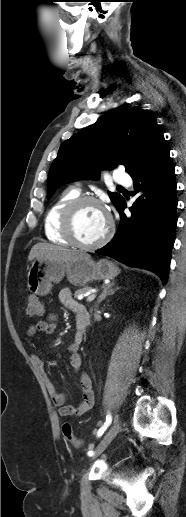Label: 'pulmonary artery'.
Returning a JSON list of instances; mask_svg holds the SVG:
<instances>
[{
    "label": "pulmonary artery",
    "instance_id": "obj_1",
    "mask_svg": "<svg viewBox=\"0 0 186 517\" xmlns=\"http://www.w3.org/2000/svg\"><path fill=\"white\" fill-rule=\"evenodd\" d=\"M114 181L120 185H130L131 177L128 174L124 173L123 171H117L114 174Z\"/></svg>",
    "mask_w": 186,
    "mask_h": 517
}]
</instances>
